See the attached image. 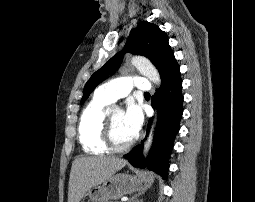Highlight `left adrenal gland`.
Here are the masks:
<instances>
[{"mask_svg":"<svg viewBox=\"0 0 255 202\" xmlns=\"http://www.w3.org/2000/svg\"><path fill=\"white\" fill-rule=\"evenodd\" d=\"M129 202H142V201H138L137 197L135 196V197H132Z\"/></svg>","mask_w":255,"mask_h":202,"instance_id":"a2214340","label":"left adrenal gland"}]
</instances>
